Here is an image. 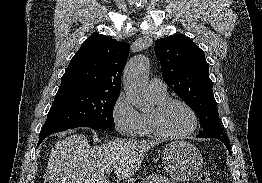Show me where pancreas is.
<instances>
[{
  "label": "pancreas",
  "mask_w": 262,
  "mask_h": 183,
  "mask_svg": "<svg viewBox=\"0 0 262 183\" xmlns=\"http://www.w3.org/2000/svg\"><path fill=\"white\" fill-rule=\"evenodd\" d=\"M141 183H175V181L159 174H152L143 178Z\"/></svg>",
  "instance_id": "obj_1"
}]
</instances>
